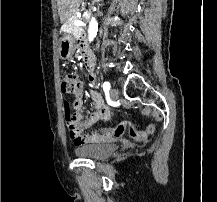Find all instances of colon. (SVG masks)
<instances>
[{"label": "colon", "mask_w": 217, "mask_h": 202, "mask_svg": "<svg viewBox=\"0 0 217 202\" xmlns=\"http://www.w3.org/2000/svg\"><path fill=\"white\" fill-rule=\"evenodd\" d=\"M76 79H78V78L74 74H70V75L65 76L61 80V91L63 93H66V94L74 93L73 92V89H74L73 82H76ZM66 105H67V103H66ZM65 122H66L68 131H78L76 124L74 122V117L69 112H67L65 115ZM150 126L151 127H147L145 130L152 135L155 131V128H154L155 125L152 123ZM103 130L105 132L107 130L109 132L114 131L116 135H122V133L125 131L134 140H148L149 141L151 139L149 137L150 135L148 133H145V131H137L128 120L121 121V123L118 125V127H114V128L109 127L108 129L105 127ZM87 132L90 134L92 131L89 129Z\"/></svg>", "instance_id": "obj_1"}]
</instances>
